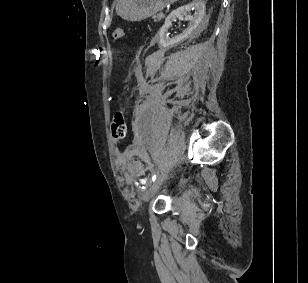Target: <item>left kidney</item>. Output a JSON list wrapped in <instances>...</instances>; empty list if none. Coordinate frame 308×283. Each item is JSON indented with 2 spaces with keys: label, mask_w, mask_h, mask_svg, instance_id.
<instances>
[{
  "label": "left kidney",
  "mask_w": 308,
  "mask_h": 283,
  "mask_svg": "<svg viewBox=\"0 0 308 283\" xmlns=\"http://www.w3.org/2000/svg\"><path fill=\"white\" fill-rule=\"evenodd\" d=\"M192 10H195L194 15L190 14ZM204 15V0H194L192 3L179 7L176 10L172 11L166 18L164 25L158 33L159 44L162 47H169L184 40L198 27ZM177 19L189 21V25L181 34L173 38H169L167 34L168 29L172 26V22L176 21Z\"/></svg>",
  "instance_id": "left-kidney-1"
}]
</instances>
